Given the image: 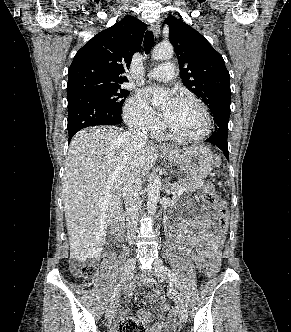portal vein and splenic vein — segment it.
<instances>
[{"label":"portal vein and splenic vein","instance_id":"1","mask_svg":"<svg viewBox=\"0 0 291 332\" xmlns=\"http://www.w3.org/2000/svg\"><path fill=\"white\" fill-rule=\"evenodd\" d=\"M183 191H184V188L181 187V188L179 189V191H178V195H179V196L182 195Z\"/></svg>","mask_w":291,"mask_h":332}]
</instances>
